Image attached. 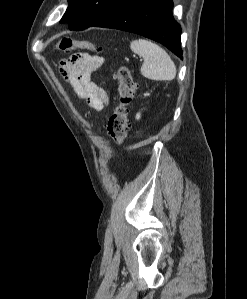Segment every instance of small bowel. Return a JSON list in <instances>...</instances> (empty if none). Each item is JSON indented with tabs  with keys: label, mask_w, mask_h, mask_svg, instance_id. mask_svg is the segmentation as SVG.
I'll return each mask as SVG.
<instances>
[{
	"label": "small bowel",
	"mask_w": 247,
	"mask_h": 299,
	"mask_svg": "<svg viewBox=\"0 0 247 299\" xmlns=\"http://www.w3.org/2000/svg\"><path fill=\"white\" fill-rule=\"evenodd\" d=\"M96 54L78 53L60 62V70L76 95L94 111L103 110L109 103L107 92L95 84L92 74L103 65Z\"/></svg>",
	"instance_id": "small-bowel-1"
}]
</instances>
